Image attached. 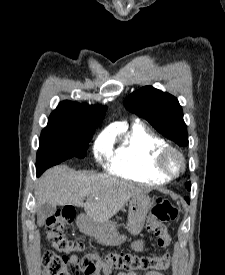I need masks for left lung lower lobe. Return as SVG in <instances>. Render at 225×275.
<instances>
[{"instance_id":"left-lung-lower-lobe-1","label":"left lung lower lobe","mask_w":225,"mask_h":275,"mask_svg":"<svg viewBox=\"0 0 225 275\" xmlns=\"http://www.w3.org/2000/svg\"><path fill=\"white\" fill-rule=\"evenodd\" d=\"M186 201L189 203V198L188 197H185Z\"/></svg>"}]
</instances>
